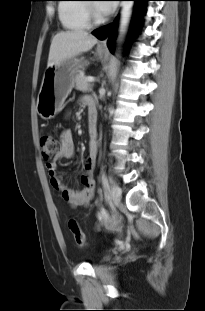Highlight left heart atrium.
<instances>
[{
	"instance_id": "obj_1",
	"label": "left heart atrium",
	"mask_w": 205,
	"mask_h": 311,
	"mask_svg": "<svg viewBox=\"0 0 205 311\" xmlns=\"http://www.w3.org/2000/svg\"><path fill=\"white\" fill-rule=\"evenodd\" d=\"M98 9L103 13V14H108L112 11L113 5L108 3V2H101L98 4Z\"/></svg>"
}]
</instances>
